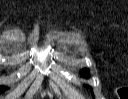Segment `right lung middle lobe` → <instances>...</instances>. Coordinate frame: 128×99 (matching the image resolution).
Wrapping results in <instances>:
<instances>
[{"label":"right lung middle lobe","mask_w":128,"mask_h":99,"mask_svg":"<svg viewBox=\"0 0 128 99\" xmlns=\"http://www.w3.org/2000/svg\"><path fill=\"white\" fill-rule=\"evenodd\" d=\"M4 90H5V88L3 87V88L1 89V92L4 91Z\"/></svg>","instance_id":"dd1d6c3e"}]
</instances>
